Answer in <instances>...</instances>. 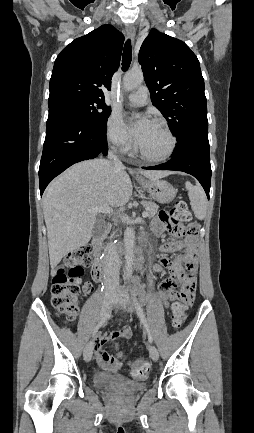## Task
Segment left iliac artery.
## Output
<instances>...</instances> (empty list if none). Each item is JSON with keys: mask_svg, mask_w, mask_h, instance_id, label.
Wrapping results in <instances>:
<instances>
[{"mask_svg": "<svg viewBox=\"0 0 254 433\" xmlns=\"http://www.w3.org/2000/svg\"><path fill=\"white\" fill-rule=\"evenodd\" d=\"M133 297H134V303H135V308H136L137 315H138V317H139V319H140V321H141V323H142V325H143V327L145 329V332L148 334V341L150 343H152L153 342V338H152V335L150 333L149 325L147 323V320H146L145 313L143 311L142 305L137 300V298H136L135 295H133Z\"/></svg>", "mask_w": 254, "mask_h": 433, "instance_id": "left-iliac-artery-1", "label": "left iliac artery"}]
</instances>
